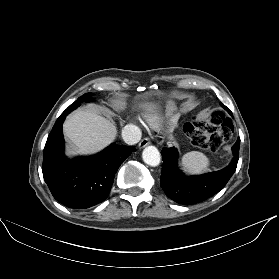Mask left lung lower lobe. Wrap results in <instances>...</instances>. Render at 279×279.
Segmentation results:
<instances>
[{"instance_id":"obj_1","label":"left lung lower lobe","mask_w":279,"mask_h":279,"mask_svg":"<svg viewBox=\"0 0 279 279\" xmlns=\"http://www.w3.org/2000/svg\"><path fill=\"white\" fill-rule=\"evenodd\" d=\"M239 146L240 138L232 147L234 157L226 168L194 176H186L178 169L176 148H164L161 152L164 163L160 185L165 194L179 204L189 205L202 202L218 193L224 188L236 170Z\"/></svg>"}]
</instances>
